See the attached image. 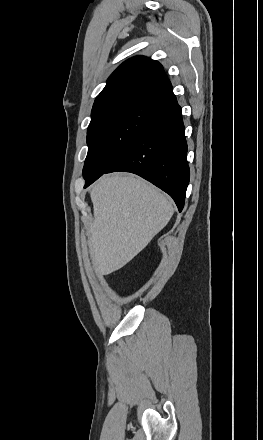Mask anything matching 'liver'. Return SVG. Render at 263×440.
<instances>
[{"label": "liver", "instance_id": "1", "mask_svg": "<svg viewBox=\"0 0 263 440\" xmlns=\"http://www.w3.org/2000/svg\"><path fill=\"white\" fill-rule=\"evenodd\" d=\"M94 220L89 249L96 274H110L131 261L170 221L172 202L141 178L114 174L90 191Z\"/></svg>", "mask_w": 263, "mask_h": 440}]
</instances>
